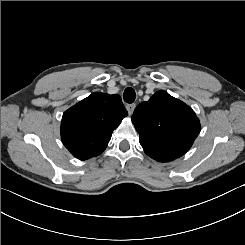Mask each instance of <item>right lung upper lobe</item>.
Wrapping results in <instances>:
<instances>
[{
  "mask_svg": "<svg viewBox=\"0 0 245 245\" xmlns=\"http://www.w3.org/2000/svg\"><path fill=\"white\" fill-rule=\"evenodd\" d=\"M128 113L117 94L92 93L64 112L61 139L80 160L100 155Z\"/></svg>",
  "mask_w": 245,
  "mask_h": 245,
  "instance_id": "1",
  "label": "right lung upper lobe"
}]
</instances>
